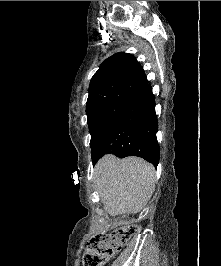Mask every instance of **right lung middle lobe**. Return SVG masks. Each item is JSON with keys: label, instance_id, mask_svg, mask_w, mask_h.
<instances>
[{"label": "right lung middle lobe", "instance_id": "dd1d6c3e", "mask_svg": "<svg viewBox=\"0 0 221 266\" xmlns=\"http://www.w3.org/2000/svg\"><path fill=\"white\" fill-rule=\"evenodd\" d=\"M141 90L140 86L125 85L100 89L89 94L86 114L91 133L92 154Z\"/></svg>", "mask_w": 221, "mask_h": 266}]
</instances>
